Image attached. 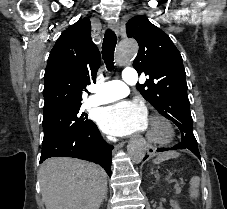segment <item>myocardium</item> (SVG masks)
I'll return each instance as SVG.
<instances>
[{
    "mask_svg": "<svg viewBox=\"0 0 227 209\" xmlns=\"http://www.w3.org/2000/svg\"><path fill=\"white\" fill-rule=\"evenodd\" d=\"M150 124H161L166 129V134L163 137L145 136V141L153 145L172 144L176 137L177 131L173 123L164 115L155 114L150 118Z\"/></svg>",
    "mask_w": 227,
    "mask_h": 209,
    "instance_id": "obj_1",
    "label": "myocardium"
}]
</instances>
